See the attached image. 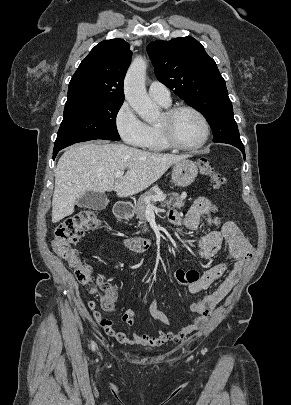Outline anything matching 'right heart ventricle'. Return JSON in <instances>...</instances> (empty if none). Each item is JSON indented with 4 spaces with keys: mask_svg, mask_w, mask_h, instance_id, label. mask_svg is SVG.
<instances>
[{
    "mask_svg": "<svg viewBox=\"0 0 291 405\" xmlns=\"http://www.w3.org/2000/svg\"><path fill=\"white\" fill-rule=\"evenodd\" d=\"M161 106L167 108L170 106L169 104L159 103ZM148 132L147 138L143 147L150 151H164L169 149L170 147L164 142L158 124H149L147 125Z\"/></svg>",
    "mask_w": 291,
    "mask_h": 405,
    "instance_id": "obj_1",
    "label": "right heart ventricle"
}]
</instances>
